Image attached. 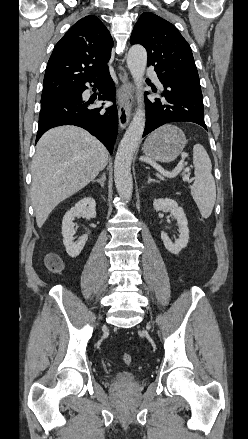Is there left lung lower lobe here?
Masks as SVG:
<instances>
[{"mask_svg":"<svg viewBox=\"0 0 248 439\" xmlns=\"http://www.w3.org/2000/svg\"><path fill=\"white\" fill-rule=\"evenodd\" d=\"M160 98L146 99V126L143 136L170 122H193L207 129L202 92L160 79ZM156 92V89H152Z\"/></svg>","mask_w":248,"mask_h":439,"instance_id":"1","label":"left lung lower lobe"}]
</instances>
